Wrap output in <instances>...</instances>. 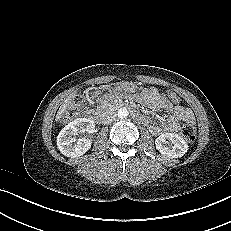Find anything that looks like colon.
Listing matches in <instances>:
<instances>
[{
  "instance_id": "1",
  "label": "colon",
  "mask_w": 231,
  "mask_h": 231,
  "mask_svg": "<svg viewBox=\"0 0 231 231\" xmlns=\"http://www.w3.org/2000/svg\"><path fill=\"white\" fill-rule=\"evenodd\" d=\"M167 99L173 104H178L180 102L179 96L173 91L168 92ZM82 106H83V98L80 95L75 96L71 101L69 107L61 114L60 116L61 122L65 123L68 120L79 115ZM179 131L181 136L189 142H193L196 139L197 128L194 122L183 123L180 126Z\"/></svg>"
}]
</instances>
